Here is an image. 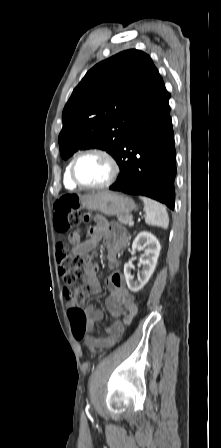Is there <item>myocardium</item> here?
Segmentation results:
<instances>
[{
  "label": "myocardium",
  "mask_w": 221,
  "mask_h": 448,
  "mask_svg": "<svg viewBox=\"0 0 221 448\" xmlns=\"http://www.w3.org/2000/svg\"><path fill=\"white\" fill-rule=\"evenodd\" d=\"M90 154H97V155L104 157L110 167V170H111L110 177L103 183L94 184V185L85 184V183L81 182L76 175V167H77L79 160L81 158H83L84 156L90 155ZM119 173H120V167H119V164H118L117 160L115 159V157L110 152H108L104 149H100V148H91V149L81 152L73 159L71 166H70L71 181L76 186H78L80 188H84V189H101V188L109 187L116 182V180L119 176Z\"/></svg>",
  "instance_id": "myocardium-1"
}]
</instances>
